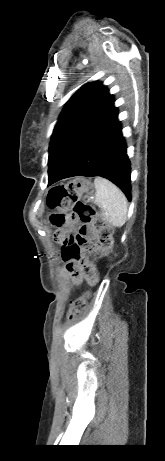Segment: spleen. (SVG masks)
<instances>
[{"instance_id":"obj_1","label":"spleen","mask_w":165,"mask_h":461,"mask_svg":"<svg viewBox=\"0 0 165 461\" xmlns=\"http://www.w3.org/2000/svg\"><path fill=\"white\" fill-rule=\"evenodd\" d=\"M95 200L104 219L115 227H122L127 220L128 203L123 192L105 178L96 177Z\"/></svg>"}]
</instances>
